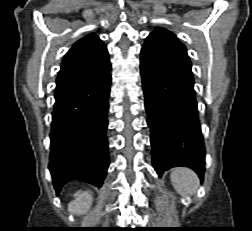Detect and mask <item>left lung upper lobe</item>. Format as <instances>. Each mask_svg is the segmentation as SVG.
<instances>
[{"mask_svg":"<svg viewBox=\"0 0 252 231\" xmlns=\"http://www.w3.org/2000/svg\"><path fill=\"white\" fill-rule=\"evenodd\" d=\"M158 36H168V37L177 39L176 36L172 32L164 28L158 27L146 38V40L150 38L158 37Z\"/></svg>","mask_w":252,"mask_h":231,"instance_id":"left-lung-upper-lobe-1","label":"left lung upper lobe"}]
</instances>
